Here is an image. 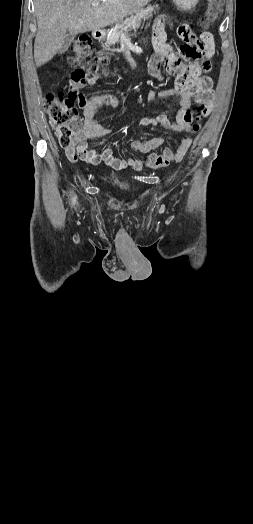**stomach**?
I'll use <instances>...</instances> for the list:
<instances>
[{"label":"stomach","instance_id":"obj_1","mask_svg":"<svg viewBox=\"0 0 253 524\" xmlns=\"http://www.w3.org/2000/svg\"><path fill=\"white\" fill-rule=\"evenodd\" d=\"M178 9L182 11H189L193 9L199 0H172Z\"/></svg>","mask_w":253,"mask_h":524}]
</instances>
